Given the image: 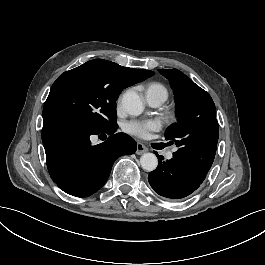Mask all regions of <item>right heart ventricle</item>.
<instances>
[{
	"mask_svg": "<svg viewBox=\"0 0 265 265\" xmlns=\"http://www.w3.org/2000/svg\"><path fill=\"white\" fill-rule=\"evenodd\" d=\"M144 94L145 97H151L158 101L159 104L166 101L169 97V91L167 87L158 81H149L147 82L144 87Z\"/></svg>",
	"mask_w": 265,
	"mask_h": 265,
	"instance_id": "obj_1",
	"label": "right heart ventricle"
}]
</instances>
